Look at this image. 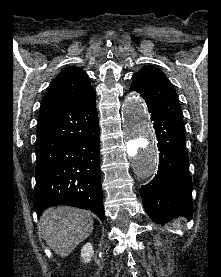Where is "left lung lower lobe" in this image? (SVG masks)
I'll return each mask as SVG.
<instances>
[{"instance_id":"obj_1","label":"left lung lower lobe","mask_w":221,"mask_h":277,"mask_svg":"<svg viewBox=\"0 0 221 277\" xmlns=\"http://www.w3.org/2000/svg\"><path fill=\"white\" fill-rule=\"evenodd\" d=\"M158 140L157 175L140 189L143 206L156 223L178 216L192 218V179L188 172L185 129L176 125L156 105L147 102Z\"/></svg>"}]
</instances>
